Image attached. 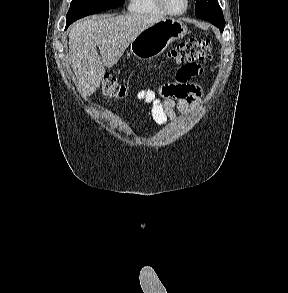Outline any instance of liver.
Returning a JSON list of instances; mask_svg holds the SVG:
<instances>
[{
    "label": "liver",
    "mask_w": 288,
    "mask_h": 293,
    "mask_svg": "<svg viewBox=\"0 0 288 293\" xmlns=\"http://www.w3.org/2000/svg\"><path fill=\"white\" fill-rule=\"evenodd\" d=\"M161 19H164L162 15L135 13L116 17L101 15L76 22L69 32L68 55L81 95L93 94L100 86L105 67H113L132 40Z\"/></svg>",
    "instance_id": "liver-1"
}]
</instances>
